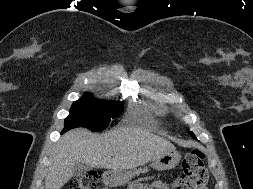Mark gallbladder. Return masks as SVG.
I'll return each instance as SVG.
<instances>
[{"label":"gallbladder","instance_id":"bac80fb5","mask_svg":"<svg viewBox=\"0 0 253 189\" xmlns=\"http://www.w3.org/2000/svg\"><path fill=\"white\" fill-rule=\"evenodd\" d=\"M91 166L85 163H77L73 167V176H82L91 170Z\"/></svg>","mask_w":253,"mask_h":189}]
</instances>
